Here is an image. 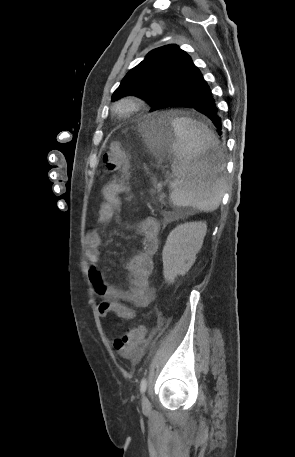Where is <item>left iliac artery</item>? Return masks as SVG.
Instances as JSON below:
<instances>
[{"instance_id":"left-iliac-artery-1","label":"left iliac artery","mask_w":295,"mask_h":457,"mask_svg":"<svg viewBox=\"0 0 295 457\" xmlns=\"http://www.w3.org/2000/svg\"><path fill=\"white\" fill-rule=\"evenodd\" d=\"M147 388V380L146 378H143L140 383V391L143 394L146 391Z\"/></svg>"}]
</instances>
